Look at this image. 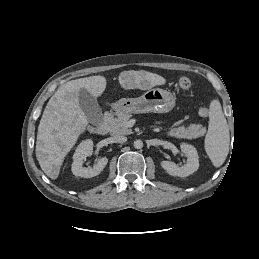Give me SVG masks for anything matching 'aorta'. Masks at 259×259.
Wrapping results in <instances>:
<instances>
[{
    "label": "aorta",
    "instance_id": "762f6f07",
    "mask_svg": "<svg viewBox=\"0 0 259 259\" xmlns=\"http://www.w3.org/2000/svg\"><path fill=\"white\" fill-rule=\"evenodd\" d=\"M134 147L136 149H141L143 147V142L141 140H135L134 141Z\"/></svg>",
    "mask_w": 259,
    "mask_h": 259
}]
</instances>
